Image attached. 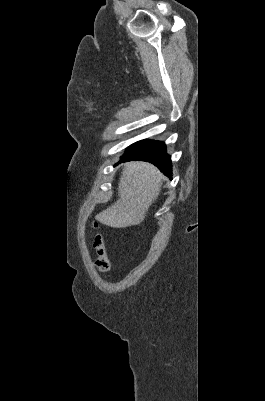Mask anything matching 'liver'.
Listing matches in <instances>:
<instances>
[{
    "label": "liver",
    "mask_w": 265,
    "mask_h": 401,
    "mask_svg": "<svg viewBox=\"0 0 265 401\" xmlns=\"http://www.w3.org/2000/svg\"><path fill=\"white\" fill-rule=\"evenodd\" d=\"M165 176L150 162H125L118 182L116 203L96 215L102 225L122 229L143 223L149 207L160 194Z\"/></svg>",
    "instance_id": "6515ba94"
}]
</instances>
